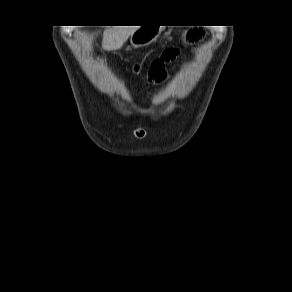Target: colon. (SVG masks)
<instances>
[{"label":"colon","mask_w":292,"mask_h":292,"mask_svg":"<svg viewBox=\"0 0 292 292\" xmlns=\"http://www.w3.org/2000/svg\"><path fill=\"white\" fill-rule=\"evenodd\" d=\"M202 36L201 31L194 30L191 32L190 37L194 39H198ZM178 51L176 49H170L168 50L164 55L163 58L160 60H156L152 63L151 65V70H150V76L152 78H162L164 76L163 68H164V62H169L173 60Z\"/></svg>","instance_id":"1"}]
</instances>
